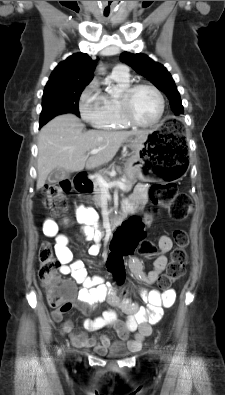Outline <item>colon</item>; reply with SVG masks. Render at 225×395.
<instances>
[{
    "mask_svg": "<svg viewBox=\"0 0 225 395\" xmlns=\"http://www.w3.org/2000/svg\"><path fill=\"white\" fill-rule=\"evenodd\" d=\"M72 185L69 180H61L54 184H48L44 189V204L57 214L67 210V196L71 192ZM149 197L153 204L168 210L173 220H184L192 209L190 197L177 189L173 183L154 184L149 189ZM142 215H130L128 223H122L121 228H116L112 234V244L107 250L106 266L110 272V278L122 279L126 267L124 256H134L138 251L139 256H150L155 253L154 244L145 239L144 222ZM175 248L165 274L161 277L159 285L168 288L178 280L187 263L188 234L186 231L177 229L173 232ZM60 263L56 258L50 242L43 241L39 249L40 282L46 288L47 301L53 308L67 310L70 307V299L73 297L74 287L72 283L64 280L58 274ZM120 286V283H116Z\"/></svg>",
    "mask_w": 225,
    "mask_h": 395,
    "instance_id": "colon-1",
    "label": "colon"
}]
</instances>
